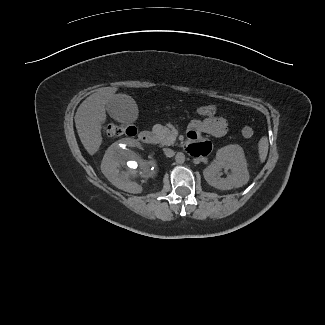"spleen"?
Returning <instances> with one entry per match:
<instances>
[{"label": "spleen", "instance_id": "3e777b00", "mask_svg": "<svg viewBox=\"0 0 325 325\" xmlns=\"http://www.w3.org/2000/svg\"><path fill=\"white\" fill-rule=\"evenodd\" d=\"M268 138L266 136H263L258 143V153H259V159L260 162L263 163L266 160L267 154H268Z\"/></svg>", "mask_w": 325, "mask_h": 325}]
</instances>
